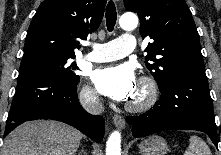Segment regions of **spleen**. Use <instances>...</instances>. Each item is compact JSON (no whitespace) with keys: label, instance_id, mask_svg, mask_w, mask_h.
<instances>
[{"label":"spleen","instance_id":"3e777b00","mask_svg":"<svg viewBox=\"0 0 221 155\" xmlns=\"http://www.w3.org/2000/svg\"><path fill=\"white\" fill-rule=\"evenodd\" d=\"M183 155H212L209 146L196 135L189 138V146Z\"/></svg>","mask_w":221,"mask_h":155}]
</instances>
